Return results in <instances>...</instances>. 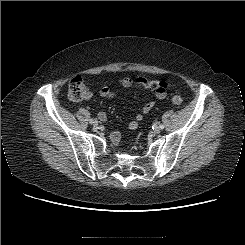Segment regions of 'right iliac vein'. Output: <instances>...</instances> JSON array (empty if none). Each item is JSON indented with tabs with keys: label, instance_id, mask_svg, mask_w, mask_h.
Masks as SVG:
<instances>
[{
	"label": "right iliac vein",
	"instance_id": "right-iliac-vein-1",
	"mask_svg": "<svg viewBox=\"0 0 245 245\" xmlns=\"http://www.w3.org/2000/svg\"><path fill=\"white\" fill-rule=\"evenodd\" d=\"M95 127H97L98 126V122L96 121V122H94V123H92Z\"/></svg>",
	"mask_w": 245,
	"mask_h": 245
}]
</instances>
